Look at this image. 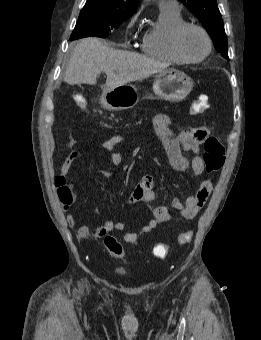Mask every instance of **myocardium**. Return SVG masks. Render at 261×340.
I'll return each instance as SVG.
<instances>
[{
    "label": "myocardium",
    "mask_w": 261,
    "mask_h": 340,
    "mask_svg": "<svg viewBox=\"0 0 261 340\" xmlns=\"http://www.w3.org/2000/svg\"><path fill=\"white\" fill-rule=\"evenodd\" d=\"M188 28L198 29L204 35V37L206 39L207 50H206V53L200 58L191 59V58L187 57L181 50V47H180L181 36L184 33V31ZM171 46H172V49L175 52V54L182 61H184L186 63H193V64L200 63V62L204 61L205 59H207L210 56V54L212 52V48H213L212 40H211V37H210L208 31L202 25H200L198 23H194V22H188V21H184L183 23H181L180 25H178L174 29L173 34H172V38H171Z\"/></svg>",
    "instance_id": "f54148a6"
}]
</instances>
